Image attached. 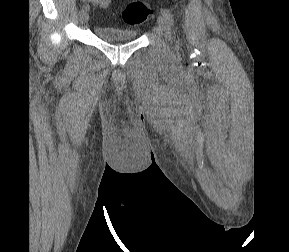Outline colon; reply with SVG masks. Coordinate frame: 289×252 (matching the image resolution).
I'll list each match as a JSON object with an SVG mask.
<instances>
[{
  "mask_svg": "<svg viewBox=\"0 0 289 252\" xmlns=\"http://www.w3.org/2000/svg\"><path fill=\"white\" fill-rule=\"evenodd\" d=\"M151 13L152 10L146 2L133 1L124 7L122 19L128 25L139 26L148 19Z\"/></svg>",
  "mask_w": 289,
  "mask_h": 252,
  "instance_id": "colon-1",
  "label": "colon"
}]
</instances>
